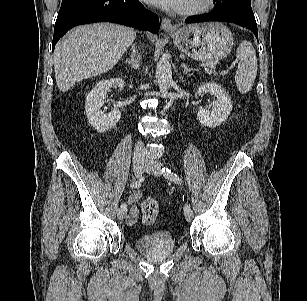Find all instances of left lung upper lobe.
Here are the masks:
<instances>
[{
    "label": "left lung upper lobe",
    "mask_w": 307,
    "mask_h": 301,
    "mask_svg": "<svg viewBox=\"0 0 307 301\" xmlns=\"http://www.w3.org/2000/svg\"><path fill=\"white\" fill-rule=\"evenodd\" d=\"M216 9L223 10L229 8H251V0H215Z\"/></svg>",
    "instance_id": "5c2ea615"
}]
</instances>
